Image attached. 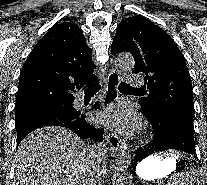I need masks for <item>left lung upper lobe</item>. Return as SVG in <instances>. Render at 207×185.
<instances>
[{"label":"left lung upper lobe","mask_w":207,"mask_h":185,"mask_svg":"<svg viewBox=\"0 0 207 185\" xmlns=\"http://www.w3.org/2000/svg\"><path fill=\"white\" fill-rule=\"evenodd\" d=\"M130 52L134 73L145 75L147 97L139 99L141 112L153 121L174 118L193 132V93L185 58L173 39L141 16H130L117 26L113 55Z\"/></svg>","instance_id":"left-lung-upper-lobe-1"}]
</instances>
